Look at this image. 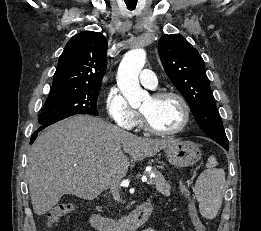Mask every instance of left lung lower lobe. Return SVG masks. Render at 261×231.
<instances>
[{"label": "left lung lower lobe", "instance_id": "1", "mask_svg": "<svg viewBox=\"0 0 261 231\" xmlns=\"http://www.w3.org/2000/svg\"><path fill=\"white\" fill-rule=\"evenodd\" d=\"M217 143H219L221 146H223L226 150H228V142H223L222 140L219 139H213Z\"/></svg>", "mask_w": 261, "mask_h": 231}]
</instances>
